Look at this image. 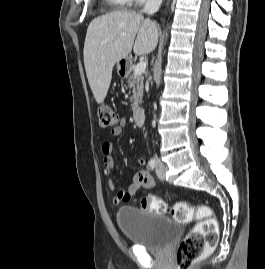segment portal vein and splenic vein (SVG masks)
<instances>
[{
    "label": "portal vein and splenic vein",
    "instance_id": "1",
    "mask_svg": "<svg viewBox=\"0 0 265 269\" xmlns=\"http://www.w3.org/2000/svg\"><path fill=\"white\" fill-rule=\"evenodd\" d=\"M147 62L145 61H140L134 70L135 75H141L145 70H146Z\"/></svg>",
    "mask_w": 265,
    "mask_h": 269
}]
</instances>
